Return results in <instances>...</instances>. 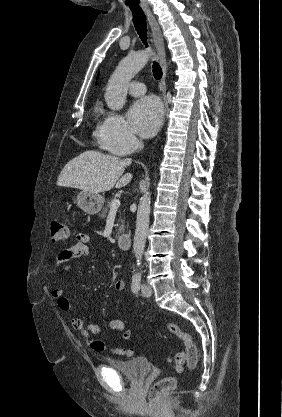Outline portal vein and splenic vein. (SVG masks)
<instances>
[{
	"label": "portal vein and splenic vein",
	"mask_w": 282,
	"mask_h": 417,
	"mask_svg": "<svg viewBox=\"0 0 282 417\" xmlns=\"http://www.w3.org/2000/svg\"><path fill=\"white\" fill-rule=\"evenodd\" d=\"M119 206H120V200H119V198H114V200H112V202H111V209H112V211L113 212H118L119 211Z\"/></svg>",
	"instance_id": "portal-vein-and-splenic-vein-1"
}]
</instances>
